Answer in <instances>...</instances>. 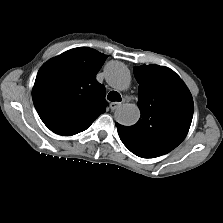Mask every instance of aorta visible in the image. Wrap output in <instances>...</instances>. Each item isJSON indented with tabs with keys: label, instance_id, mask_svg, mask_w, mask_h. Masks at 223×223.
<instances>
[{
	"label": "aorta",
	"instance_id": "762f6f07",
	"mask_svg": "<svg viewBox=\"0 0 223 223\" xmlns=\"http://www.w3.org/2000/svg\"><path fill=\"white\" fill-rule=\"evenodd\" d=\"M105 78L111 87L119 91L128 89L131 82L129 69L119 61H110L106 64ZM140 115L141 113L137 105L126 103L115 111L114 118L121 125L131 126L137 123Z\"/></svg>",
	"mask_w": 223,
	"mask_h": 223
}]
</instances>
